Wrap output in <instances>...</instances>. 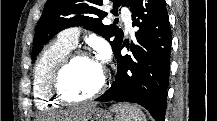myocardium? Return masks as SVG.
Returning a JSON list of instances; mask_svg holds the SVG:
<instances>
[{
  "mask_svg": "<svg viewBox=\"0 0 217 121\" xmlns=\"http://www.w3.org/2000/svg\"><path fill=\"white\" fill-rule=\"evenodd\" d=\"M81 58L95 59V57L87 51L73 50L69 52L54 68L50 77L49 87H50L51 95L53 98H55L56 101L60 103H67V104H84L94 100L104 92L109 78L108 71L104 67H103V76L100 81V84L88 96L81 97V98H74L68 96L64 92L63 85H62L63 75L78 59Z\"/></svg>",
  "mask_w": 217,
  "mask_h": 121,
  "instance_id": "1",
  "label": "myocardium"
}]
</instances>
